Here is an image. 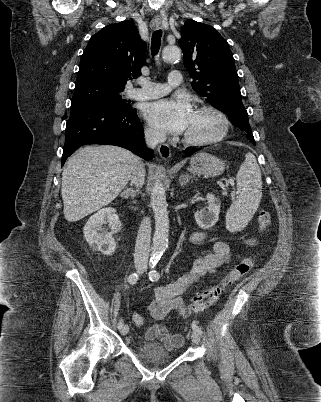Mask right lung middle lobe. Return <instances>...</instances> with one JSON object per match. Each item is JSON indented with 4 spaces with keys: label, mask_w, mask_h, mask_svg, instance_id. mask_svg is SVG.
I'll return each instance as SVG.
<instances>
[{
    "label": "right lung middle lobe",
    "mask_w": 321,
    "mask_h": 402,
    "mask_svg": "<svg viewBox=\"0 0 321 402\" xmlns=\"http://www.w3.org/2000/svg\"><path fill=\"white\" fill-rule=\"evenodd\" d=\"M123 89L114 88L100 83L75 84L71 108L97 107L112 111H125L131 108L122 99Z\"/></svg>",
    "instance_id": "obj_1"
}]
</instances>
